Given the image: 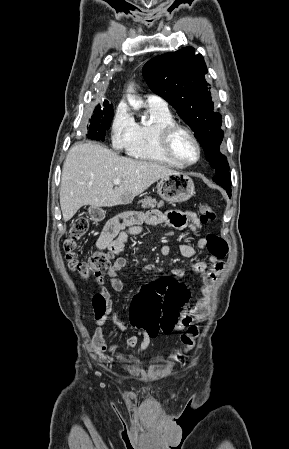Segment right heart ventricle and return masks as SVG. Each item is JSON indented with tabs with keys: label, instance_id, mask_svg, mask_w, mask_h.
Segmentation results:
<instances>
[{
	"label": "right heart ventricle",
	"instance_id": "1",
	"mask_svg": "<svg viewBox=\"0 0 289 449\" xmlns=\"http://www.w3.org/2000/svg\"><path fill=\"white\" fill-rule=\"evenodd\" d=\"M150 119L137 124V135L134 145L128 150L130 155L148 161L160 162L173 167H181L171 161L162 151L159 141L160 130L176 121L167 108L148 106Z\"/></svg>",
	"mask_w": 289,
	"mask_h": 449
}]
</instances>
